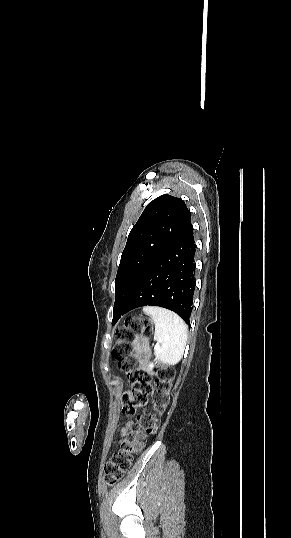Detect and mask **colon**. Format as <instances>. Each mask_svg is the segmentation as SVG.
Returning <instances> with one entry per match:
<instances>
[{
    "label": "colon",
    "instance_id": "1",
    "mask_svg": "<svg viewBox=\"0 0 291 538\" xmlns=\"http://www.w3.org/2000/svg\"><path fill=\"white\" fill-rule=\"evenodd\" d=\"M152 323L145 317H133L126 320L125 327L119 331L120 342L113 350L120 369L127 375L131 390L122 395V411L132 416L137 408L147 406L152 399L154 412L138 415L133 432L128 434L120 448L113 454L104 468V478L108 484L119 481L129 469L134 452L136 433L139 431L154 435L159 428V416L167 407L170 399V389L174 380V371L168 367H159L154 384L150 382L147 373L142 368V360L133 354L130 342L135 333L149 334Z\"/></svg>",
    "mask_w": 291,
    "mask_h": 538
}]
</instances>
